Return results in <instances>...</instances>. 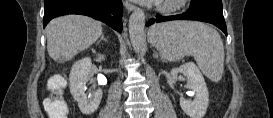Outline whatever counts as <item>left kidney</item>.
<instances>
[{
    "label": "left kidney",
    "mask_w": 273,
    "mask_h": 118,
    "mask_svg": "<svg viewBox=\"0 0 273 118\" xmlns=\"http://www.w3.org/2000/svg\"><path fill=\"white\" fill-rule=\"evenodd\" d=\"M179 73L187 78V87L195 94L193 101L183 97L180 98L182 110L190 118H203L209 104V93L203 75L192 62L185 63L178 68H173L170 72L173 78Z\"/></svg>",
    "instance_id": "obj_1"
}]
</instances>
